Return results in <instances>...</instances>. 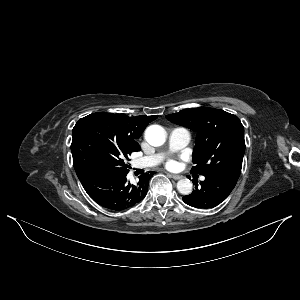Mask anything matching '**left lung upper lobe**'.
I'll return each instance as SVG.
<instances>
[{
	"mask_svg": "<svg viewBox=\"0 0 300 300\" xmlns=\"http://www.w3.org/2000/svg\"><path fill=\"white\" fill-rule=\"evenodd\" d=\"M166 118L197 132L191 173L238 180L245 152L244 127L239 118L220 109H184Z\"/></svg>",
	"mask_w": 300,
	"mask_h": 300,
	"instance_id": "1",
	"label": "left lung upper lobe"
}]
</instances>
